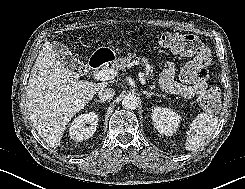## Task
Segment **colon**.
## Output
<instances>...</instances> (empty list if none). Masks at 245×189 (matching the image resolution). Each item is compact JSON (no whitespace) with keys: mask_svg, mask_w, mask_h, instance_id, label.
I'll return each instance as SVG.
<instances>
[{"mask_svg":"<svg viewBox=\"0 0 245 189\" xmlns=\"http://www.w3.org/2000/svg\"><path fill=\"white\" fill-rule=\"evenodd\" d=\"M163 48L181 56H191L180 72V78L186 85H194L205 80L212 58L210 51L202 45L198 37L192 34L164 32L159 37ZM221 93L218 88H211L198 97V103L205 109H215L219 106Z\"/></svg>","mask_w":245,"mask_h":189,"instance_id":"1","label":"colon"}]
</instances>
